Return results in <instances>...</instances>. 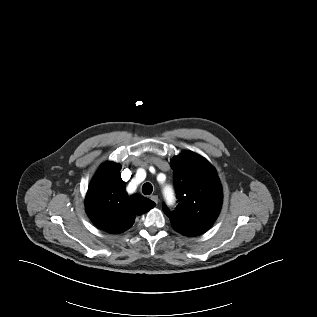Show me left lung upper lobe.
<instances>
[{"label":"left lung upper lobe","instance_id":"5c2ea615","mask_svg":"<svg viewBox=\"0 0 317 317\" xmlns=\"http://www.w3.org/2000/svg\"><path fill=\"white\" fill-rule=\"evenodd\" d=\"M178 205L163 210L173 228L190 227L206 231L219 215L222 188L215 169L200 155L185 151L171 160Z\"/></svg>","mask_w":317,"mask_h":317}]
</instances>
